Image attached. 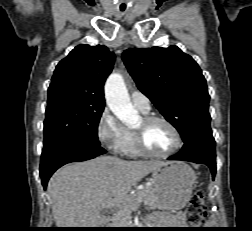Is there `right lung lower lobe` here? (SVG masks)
Listing matches in <instances>:
<instances>
[{"label": "right lung lower lobe", "mask_w": 252, "mask_h": 231, "mask_svg": "<svg viewBox=\"0 0 252 231\" xmlns=\"http://www.w3.org/2000/svg\"><path fill=\"white\" fill-rule=\"evenodd\" d=\"M105 152L100 145L84 142H61L43 149L40 176L44 189L51 175L59 167L70 162L89 160Z\"/></svg>", "instance_id": "obj_1"}]
</instances>
